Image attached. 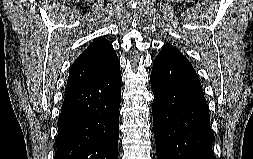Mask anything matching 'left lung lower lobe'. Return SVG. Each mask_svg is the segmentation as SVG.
Here are the masks:
<instances>
[{"label": "left lung lower lobe", "mask_w": 253, "mask_h": 159, "mask_svg": "<svg viewBox=\"0 0 253 159\" xmlns=\"http://www.w3.org/2000/svg\"><path fill=\"white\" fill-rule=\"evenodd\" d=\"M157 159H216L202 86L177 51H160L151 73Z\"/></svg>", "instance_id": "1"}]
</instances>
